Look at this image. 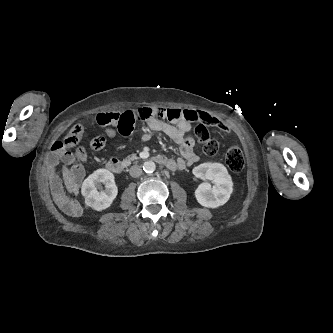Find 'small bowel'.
<instances>
[{
    "instance_id": "small-bowel-1",
    "label": "small bowel",
    "mask_w": 333,
    "mask_h": 333,
    "mask_svg": "<svg viewBox=\"0 0 333 333\" xmlns=\"http://www.w3.org/2000/svg\"><path fill=\"white\" fill-rule=\"evenodd\" d=\"M146 110V117L144 119H137L135 117V110L131 109L125 111L130 120V127L120 131L123 135H129L132 131L133 124L136 121H143L147 125L145 133L142 135L143 140H148L153 134L157 132H164L175 143L180 146L181 158L167 159L165 165L171 169H184L187 164H193L199 160V157L195 154L194 139L188 135V132L192 128V123L200 122L210 126H217L225 133H230L231 129L219 121L216 117L211 116L209 113L200 110H183L179 108H163V107H141ZM106 133L109 137H114L116 131L112 128H108ZM51 167L49 173V182L52 191V195L58 204L64 211L72 215L77 214L78 209L74 203L68 199L63 193L62 183L56 171V165L58 161L63 164L75 163L73 173L75 178L83 176V168L79 162L86 161V154L83 150H78L74 155L70 153H63L60 156L51 154Z\"/></svg>"
}]
</instances>
